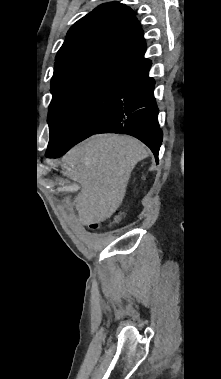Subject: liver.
I'll use <instances>...</instances> for the list:
<instances>
[{
	"label": "liver",
	"instance_id": "1",
	"mask_svg": "<svg viewBox=\"0 0 221 379\" xmlns=\"http://www.w3.org/2000/svg\"><path fill=\"white\" fill-rule=\"evenodd\" d=\"M148 150L126 135H97L66 153L63 175L81 185L75 198L83 224L110 218L121 205L135 165Z\"/></svg>",
	"mask_w": 221,
	"mask_h": 379
}]
</instances>
